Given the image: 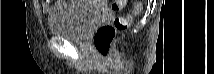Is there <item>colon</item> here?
<instances>
[{"label":"colon","mask_w":214,"mask_h":74,"mask_svg":"<svg viewBox=\"0 0 214 74\" xmlns=\"http://www.w3.org/2000/svg\"><path fill=\"white\" fill-rule=\"evenodd\" d=\"M126 3V0L114 1L112 3V10L121 11ZM141 10V2L135 1L134 9L131 14L117 16L112 23L103 24L96 30L93 36V45L101 56L107 57L110 54L116 32L128 29L133 21V17L139 14Z\"/></svg>","instance_id":"obj_1"}]
</instances>
